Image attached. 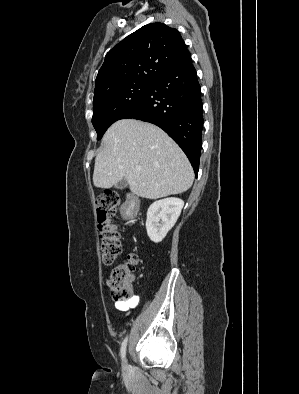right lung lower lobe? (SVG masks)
<instances>
[{"mask_svg":"<svg viewBox=\"0 0 299 394\" xmlns=\"http://www.w3.org/2000/svg\"><path fill=\"white\" fill-rule=\"evenodd\" d=\"M201 87L191 55L159 75L121 119L133 118L162 128L185 152L198 174L202 145Z\"/></svg>","mask_w":299,"mask_h":394,"instance_id":"right-lung-lower-lobe-1","label":"right lung lower lobe"}]
</instances>
